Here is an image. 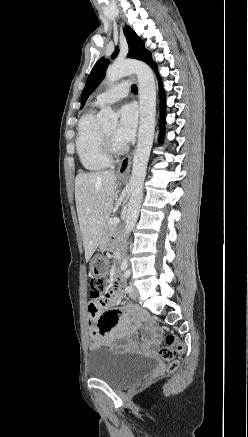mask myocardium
<instances>
[{"instance_id": "1", "label": "myocardium", "mask_w": 248, "mask_h": 437, "mask_svg": "<svg viewBox=\"0 0 248 437\" xmlns=\"http://www.w3.org/2000/svg\"><path fill=\"white\" fill-rule=\"evenodd\" d=\"M102 144L105 154L111 159L119 154H121L125 147L122 145H117L102 129Z\"/></svg>"}]
</instances>
